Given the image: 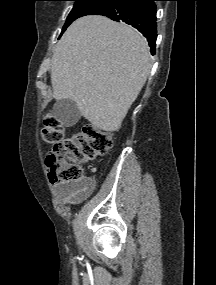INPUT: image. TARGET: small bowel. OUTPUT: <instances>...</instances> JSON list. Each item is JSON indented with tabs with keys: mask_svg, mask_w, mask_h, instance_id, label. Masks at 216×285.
<instances>
[{
	"mask_svg": "<svg viewBox=\"0 0 216 285\" xmlns=\"http://www.w3.org/2000/svg\"><path fill=\"white\" fill-rule=\"evenodd\" d=\"M94 188L93 181L84 178L78 182L57 183L54 189L59 199L65 202L78 203L90 196Z\"/></svg>",
	"mask_w": 216,
	"mask_h": 285,
	"instance_id": "small-bowel-1",
	"label": "small bowel"
}]
</instances>
